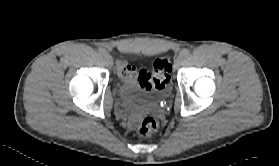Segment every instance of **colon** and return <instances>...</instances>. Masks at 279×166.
<instances>
[{
  "label": "colon",
  "mask_w": 279,
  "mask_h": 166,
  "mask_svg": "<svg viewBox=\"0 0 279 166\" xmlns=\"http://www.w3.org/2000/svg\"><path fill=\"white\" fill-rule=\"evenodd\" d=\"M172 65L168 57L157 59L153 65L152 73L147 70H140L136 80L139 86L146 91L163 90L170 80ZM158 122L153 117H146L142 120L138 133L142 137H148L156 131Z\"/></svg>",
  "instance_id": "colon-1"
}]
</instances>
